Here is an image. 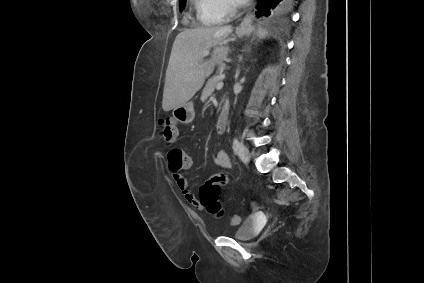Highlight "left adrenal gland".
<instances>
[{"mask_svg": "<svg viewBox=\"0 0 424 283\" xmlns=\"http://www.w3.org/2000/svg\"><path fill=\"white\" fill-rule=\"evenodd\" d=\"M239 73H240V70H239V69H237V70H236V77H238V76H239Z\"/></svg>", "mask_w": 424, "mask_h": 283, "instance_id": "left-adrenal-gland-1", "label": "left adrenal gland"}]
</instances>
